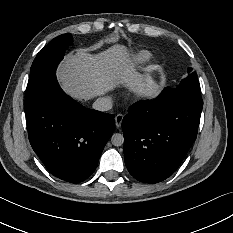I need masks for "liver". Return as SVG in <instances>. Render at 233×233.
<instances>
[{"instance_id":"liver-1","label":"liver","mask_w":233,"mask_h":233,"mask_svg":"<svg viewBox=\"0 0 233 233\" xmlns=\"http://www.w3.org/2000/svg\"><path fill=\"white\" fill-rule=\"evenodd\" d=\"M63 90L78 100L88 101L106 94L119 84L142 97L158 94L160 88L153 80H144L136 72L130 54L115 45L92 55L86 49L68 54L57 71Z\"/></svg>"}]
</instances>
